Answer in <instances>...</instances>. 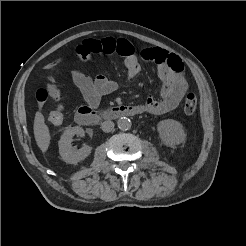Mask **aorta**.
<instances>
[{"label":"aorta","instance_id":"762f6f07","mask_svg":"<svg viewBox=\"0 0 246 246\" xmlns=\"http://www.w3.org/2000/svg\"><path fill=\"white\" fill-rule=\"evenodd\" d=\"M131 125V121L127 117H121L117 121V126L122 131L129 130L131 128Z\"/></svg>","mask_w":246,"mask_h":246}]
</instances>
